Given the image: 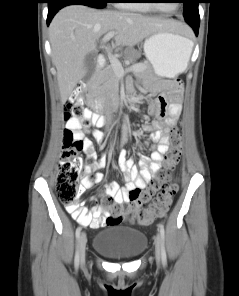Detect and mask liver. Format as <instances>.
Returning a JSON list of instances; mask_svg holds the SVG:
<instances>
[{
  "instance_id": "liver-1",
  "label": "liver",
  "mask_w": 239,
  "mask_h": 296,
  "mask_svg": "<svg viewBox=\"0 0 239 296\" xmlns=\"http://www.w3.org/2000/svg\"><path fill=\"white\" fill-rule=\"evenodd\" d=\"M184 29L174 20L139 13L99 10L84 5L62 8L49 27L61 101L65 103L77 83L84 78L86 56L96 51L97 42L108 32L116 33L115 45L133 47L154 33Z\"/></svg>"
}]
</instances>
